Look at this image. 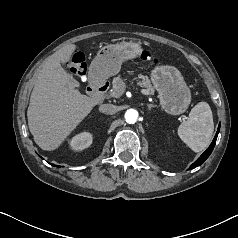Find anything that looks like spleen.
<instances>
[{
  "mask_svg": "<svg viewBox=\"0 0 238 238\" xmlns=\"http://www.w3.org/2000/svg\"><path fill=\"white\" fill-rule=\"evenodd\" d=\"M214 122L207 102H199L189 113L187 121L181 123L178 135L194 152L203 151L211 142Z\"/></svg>",
  "mask_w": 238,
  "mask_h": 238,
  "instance_id": "1",
  "label": "spleen"
}]
</instances>
